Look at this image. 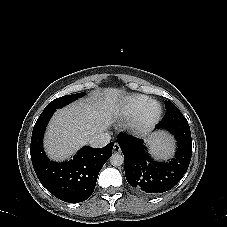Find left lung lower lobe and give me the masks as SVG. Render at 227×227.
Masks as SVG:
<instances>
[{
    "mask_svg": "<svg viewBox=\"0 0 227 227\" xmlns=\"http://www.w3.org/2000/svg\"><path fill=\"white\" fill-rule=\"evenodd\" d=\"M155 130H166L176 138L177 151L168 162L154 161L142 139L126 134L117 138L124 154L127 182L145 196H157L171 190L186 173L192 156L190 127L175 105L167 109Z\"/></svg>",
    "mask_w": 227,
    "mask_h": 227,
    "instance_id": "0a47b994",
    "label": "left lung lower lobe"
}]
</instances>
